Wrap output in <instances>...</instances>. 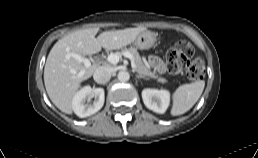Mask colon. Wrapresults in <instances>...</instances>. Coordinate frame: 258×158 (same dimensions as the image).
<instances>
[{
    "label": "colon",
    "instance_id": "5ec220e1",
    "mask_svg": "<svg viewBox=\"0 0 258 158\" xmlns=\"http://www.w3.org/2000/svg\"><path fill=\"white\" fill-rule=\"evenodd\" d=\"M167 68L172 73L186 72L190 80H198L204 73V62L194 56V47L187 41L177 42L166 56Z\"/></svg>",
    "mask_w": 258,
    "mask_h": 158
}]
</instances>
